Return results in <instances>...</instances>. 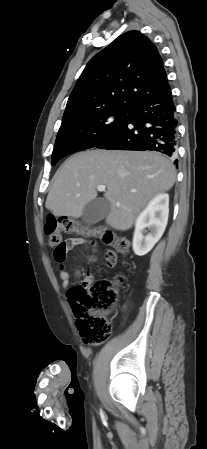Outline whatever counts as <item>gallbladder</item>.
I'll return each instance as SVG.
<instances>
[{"label":"gallbladder","mask_w":207,"mask_h":449,"mask_svg":"<svg viewBox=\"0 0 207 449\" xmlns=\"http://www.w3.org/2000/svg\"><path fill=\"white\" fill-rule=\"evenodd\" d=\"M111 207L109 201L104 198H96L84 207L82 220L85 224H96L106 218L110 213Z\"/></svg>","instance_id":"bac80fb5"}]
</instances>
